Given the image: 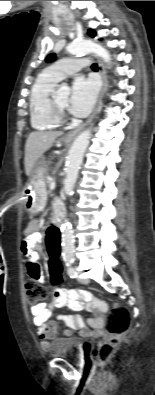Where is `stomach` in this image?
Segmentation results:
<instances>
[{
  "label": "stomach",
  "mask_w": 155,
  "mask_h": 395,
  "mask_svg": "<svg viewBox=\"0 0 155 395\" xmlns=\"http://www.w3.org/2000/svg\"><path fill=\"white\" fill-rule=\"evenodd\" d=\"M45 174L46 168L37 164L33 168L29 181L23 191L26 209L32 214L42 211L46 204Z\"/></svg>",
  "instance_id": "1"
}]
</instances>
